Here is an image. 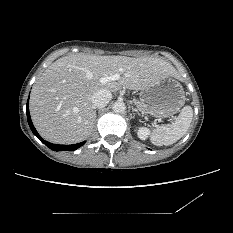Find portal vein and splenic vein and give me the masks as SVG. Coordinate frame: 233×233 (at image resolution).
<instances>
[{
  "mask_svg": "<svg viewBox=\"0 0 233 233\" xmlns=\"http://www.w3.org/2000/svg\"><path fill=\"white\" fill-rule=\"evenodd\" d=\"M119 78H120V75H118V74H115V75H112V76H105V77H102L100 79V83L104 84V83H107V82H110V81L118 80Z\"/></svg>",
  "mask_w": 233,
  "mask_h": 233,
  "instance_id": "18ae733b",
  "label": "portal vein and splenic vein"
}]
</instances>
